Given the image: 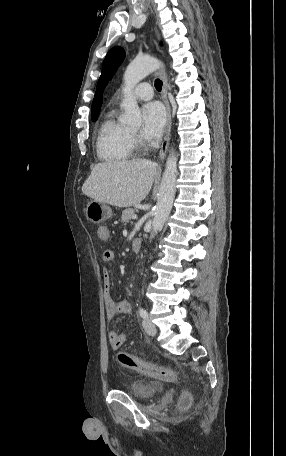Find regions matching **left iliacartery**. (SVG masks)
I'll list each match as a JSON object with an SVG mask.
<instances>
[{"instance_id": "left-iliac-artery-1", "label": "left iliac artery", "mask_w": 286, "mask_h": 456, "mask_svg": "<svg viewBox=\"0 0 286 456\" xmlns=\"http://www.w3.org/2000/svg\"><path fill=\"white\" fill-rule=\"evenodd\" d=\"M139 314L144 319L148 317L147 311L144 308H142V307L139 308Z\"/></svg>"}]
</instances>
